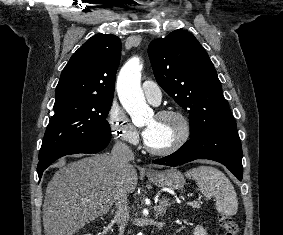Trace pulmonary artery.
<instances>
[{"label": "pulmonary artery", "instance_id": "e3ab8cb5", "mask_svg": "<svg viewBox=\"0 0 283 235\" xmlns=\"http://www.w3.org/2000/svg\"><path fill=\"white\" fill-rule=\"evenodd\" d=\"M142 91L146 99L152 104H158L161 101L162 93L160 87L151 80L142 83Z\"/></svg>", "mask_w": 283, "mask_h": 235}]
</instances>
